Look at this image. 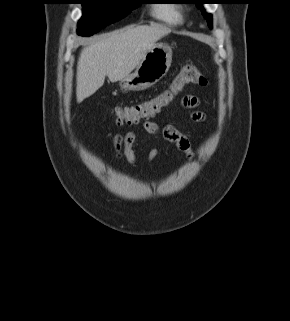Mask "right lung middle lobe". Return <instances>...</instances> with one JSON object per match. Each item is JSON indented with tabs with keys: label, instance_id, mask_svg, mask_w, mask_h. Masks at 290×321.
Segmentation results:
<instances>
[{
	"label": "right lung middle lobe",
	"instance_id": "obj_1",
	"mask_svg": "<svg viewBox=\"0 0 290 321\" xmlns=\"http://www.w3.org/2000/svg\"><path fill=\"white\" fill-rule=\"evenodd\" d=\"M83 6V16L78 22V34L91 36L115 22L133 9L140 6L138 0H80Z\"/></svg>",
	"mask_w": 290,
	"mask_h": 321
}]
</instances>
